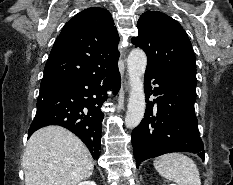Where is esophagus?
<instances>
[{"mask_svg":"<svg viewBox=\"0 0 233 185\" xmlns=\"http://www.w3.org/2000/svg\"><path fill=\"white\" fill-rule=\"evenodd\" d=\"M125 88H126V90H128V89H129V83H128V81H127V80H125Z\"/></svg>","mask_w":233,"mask_h":185,"instance_id":"esophagus-1","label":"esophagus"}]
</instances>
